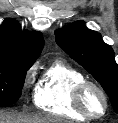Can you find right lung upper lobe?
<instances>
[{"instance_id": "cb5924a9", "label": "right lung upper lobe", "mask_w": 118, "mask_h": 123, "mask_svg": "<svg viewBox=\"0 0 118 123\" xmlns=\"http://www.w3.org/2000/svg\"><path fill=\"white\" fill-rule=\"evenodd\" d=\"M44 46L40 32L21 31L14 19H6L0 26V59L32 66Z\"/></svg>"}]
</instances>
